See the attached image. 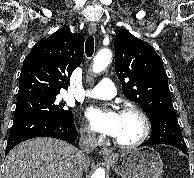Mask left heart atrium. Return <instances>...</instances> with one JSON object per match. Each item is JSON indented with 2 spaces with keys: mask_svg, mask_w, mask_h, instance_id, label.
<instances>
[{
  "mask_svg": "<svg viewBox=\"0 0 194 178\" xmlns=\"http://www.w3.org/2000/svg\"><path fill=\"white\" fill-rule=\"evenodd\" d=\"M86 116L94 130L115 136L119 129V114L110 109L90 108Z\"/></svg>",
  "mask_w": 194,
  "mask_h": 178,
  "instance_id": "obj_1",
  "label": "left heart atrium"
}]
</instances>
